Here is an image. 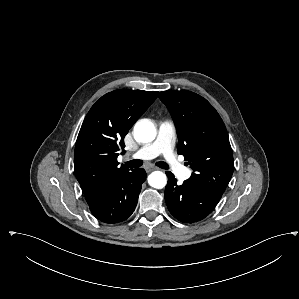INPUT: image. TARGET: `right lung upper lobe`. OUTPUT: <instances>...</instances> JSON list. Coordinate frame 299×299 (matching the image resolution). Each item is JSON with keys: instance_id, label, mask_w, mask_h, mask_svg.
I'll use <instances>...</instances> for the list:
<instances>
[{"instance_id": "obj_1", "label": "right lung upper lobe", "mask_w": 299, "mask_h": 299, "mask_svg": "<svg viewBox=\"0 0 299 299\" xmlns=\"http://www.w3.org/2000/svg\"><path fill=\"white\" fill-rule=\"evenodd\" d=\"M158 92L119 89L102 96L81 126L74 153L77 180L90 203L121 173L117 157L123 139L136 120L155 101Z\"/></svg>"}]
</instances>
